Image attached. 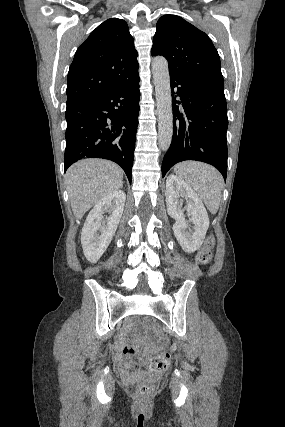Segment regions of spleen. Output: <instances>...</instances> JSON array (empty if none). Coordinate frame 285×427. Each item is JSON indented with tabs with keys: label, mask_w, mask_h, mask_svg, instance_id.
<instances>
[{
	"label": "spleen",
	"mask_w": 285,
	"mask_h": 427,
	"mask_svg": "<svg viewBox=\"0 0 285 427\" xmlns=\"http://www.w3.org/2000/svg\"><path fill=\"white\" fill-rule=\"evenodd\" d=\"M174 172L197 192L208 210L217 213L223 189V177L214 167L194 161L177 164Z\"/></svg>",
	"instance_id": "obj_1"
}]
</instances>
